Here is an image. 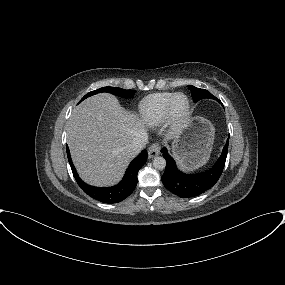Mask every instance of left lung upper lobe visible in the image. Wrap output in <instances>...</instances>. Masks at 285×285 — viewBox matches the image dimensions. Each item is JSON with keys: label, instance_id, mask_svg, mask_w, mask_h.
<instances>
[{"label": "left lung upper lobe", "instance_id": "5c2ea615", "mask_svg": "<svg viewBox=\"0 0 285 285\" xmlns=\"http://www.w3.org/2000/svg\"><path fill=\"white\" fill-rule=\"evenodd\" d=\"M188 87L192 92V98H193L194 102H197V101L204 99V98H210V99H215V100L219 101L215 96H213L209 91H207L205 89L196 88V87L191 86V85Z\"/></svg>", "mask_w": 285, "mask_h": 285}]
</instances>
